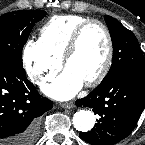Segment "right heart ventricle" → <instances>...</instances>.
<instances>
[{
	"instance_id": "right-heart-ventricle-1",
	"label": "right heart ventricle",
	"mask_w": 145,
	"mask_h": 145,
	"mask_svg": "<svg viewBox=\"0 0 145 145\" xmlns=\"http://www.w3.org/2000/svg\"><path fill=\"white\" fill-rule=\"evenodd\" d=\"M88 19L81 15L53 16L40 28L38 41L45 51L61 60L73 32Z\"/></svg>"
}]
</instances>
